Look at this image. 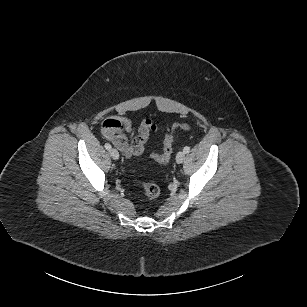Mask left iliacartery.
<instances>
[{
    "label": "left iliac artery",
    "mask_w": 307,
    "mask_h": 307,
    "mask_svg": "<svg viewBox=\"0 0 307 307\" xmlns=\"http://www.w3.org/2000/svg\"><path fill=\"white\" fill-rule=\"evenodd\" d=\"M183 151H184L185 153H189L190 147H189V146L184 147Z\"/></svg>",
    "instance_id": "1"
}]
</instances>
